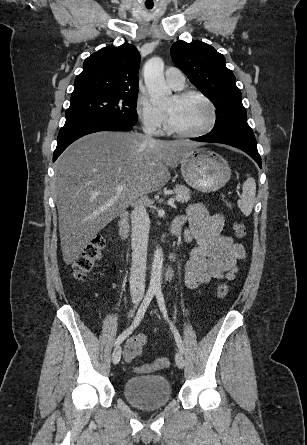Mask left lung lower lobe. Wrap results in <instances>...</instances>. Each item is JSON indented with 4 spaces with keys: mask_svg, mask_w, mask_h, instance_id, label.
I'll return each instance as SVG.
<instances>
[{
    "mask_svg": "<svg viewBox=\"0 0 307 445\" xmlns=\"http://www.w3.org/2000/svg\"><path fill=\"white\" fill-rule=\"evenodd\" d=\"M192 140L222 143L236 147L252 157L257 162L259 167L262 168L261 158L257 150L256 139L252 132L225 131L219 133H209L204 136L193 138Z\"/></svg>",
    "mask_w": 307,
    "mask_h": 445,
    "instance_id": "obj_1",
    "label": "left lung lower lobe"
}]
</instances>
